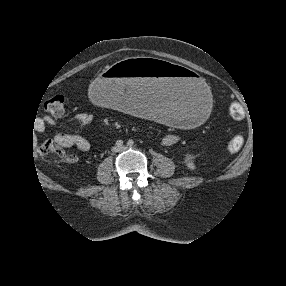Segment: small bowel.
Wrapping results in <instances>:
<instances>
[{"label":"small bowel","mask_w":286,"mask_h":286,"mask_svg":"<svg viewBox=\"0 0 286 286\" xmlns=\"http://www.w3.org/2000/svg\"><path fill=\"white\" fill-rule=\"evenodd\" d=\"M93 117L88 114H79L74 117V121L78 123H90L92 122ZM55 119H53L50 116H45L41 119L39 122V125L37 127V131H43L47 126H52L55 124ZM55 141L64 146V147H75L83 152H88L91 148V145L89 141L79 135H70V134H58L55 136ZM179 138L175 134H168L163 137L162 139V145L165 147L172 146L178 142ZM74 158H70V160H73Z\"/></svg>","instance_id":"c3829d8e"}]
</instances>
